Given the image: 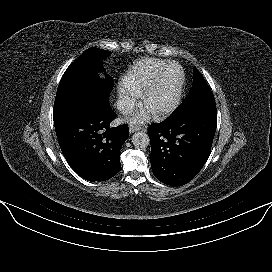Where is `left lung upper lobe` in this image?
Here are the masks:
<instances>
[{
	"label": "left lung upper lobe",
	"mask_w": 272,
	"mask_h": 272,
	"mask_svg": "<svg viewBox=\"0 0 272 272\" xmlns=\"http://www.w3.org/2000/svg\"><path fill=\"white\" fill-rule=\"evenodd\" d=\"M193 76L191 91L174 112H181L191 108L205 107L215 104L214 96L208 84L196 67L193 70Z\"/></svg>",
	"instance_id": "5c2ea615"
}]
</instances>
